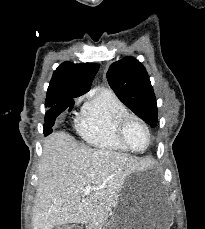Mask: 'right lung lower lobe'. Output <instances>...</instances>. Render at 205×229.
<instances>
[{
  "label": "right lung lower lobe",
  "instance_id": "1",
  "mask_svg": "<svg viewBox=\"0 0 205 229\" xmlns=\"http://www.w3.org/2000/svg\"><path fill=\"white\" fill-rule=\"evenodd\" d=\"M74 106V100L69 99L54 105L45 114V124H44V135L47 136L52 133V126L54 125L56 117L62 113L65 109L72 110Z\"/></svg>",
  "mask_w": 205,
  "mask_h": 229
}]
</instances>
